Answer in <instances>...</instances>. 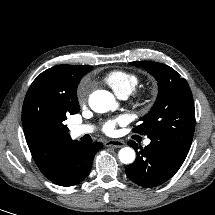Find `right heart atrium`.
Here are the masks:
<instances>
[{
  "instance_id": "right-heart-atrium-1",
  "label": "right heart atrium",
  "mask_w": 215,
  "mask_h": 215,
  "mask_svg": "<svg viewBox=\"0 0 215 215\" xmlns=\"http://www.w3.org/2000/svg\"><path fill=\"white\" fill-rule=\"evenodd\" d=\"M90 88H91V83L89 81H83L79 84L76 95H77V100L80 104H83L86 102L89 95Z\"/></svg>"
}]
</instances>
